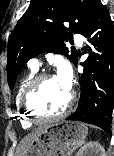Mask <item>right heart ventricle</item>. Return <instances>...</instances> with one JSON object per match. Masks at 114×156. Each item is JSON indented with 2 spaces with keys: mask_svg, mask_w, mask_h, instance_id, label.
I'll list each match as a JSON object with an SVG mask.
<instances>
[{
  "mask_svg": "<svg viewBox=\"0 0 114 156\" xmlns=\"http://www.w3.org/2000/svg\"><path fill=\"white\" fill-rule=\"evenodd\" d=\"M36 71L37 69L31 68L30 71L20 80L17 90H16V95H15V104L17 108L16 113L18 117L20 118L21 126L23 128H30L34 123L27 118L24 111L22 110L21 96L28 82L35 76Z\"/></svg>",
  "mask_w": 114,
  "mask_h": 156,
  "instance_id": "e07e8e85",
  "label": "right heart ventricle"
}]
</instances>
